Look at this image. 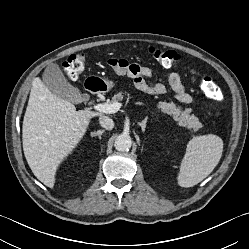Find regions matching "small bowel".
<instances>
[{"label":"small bowel","mask_w":249,"mask_h":249,"mask_svg":"<svg viewBox=\"0 0 249 249\" xmlns=\"http://www.w3.org/2000/svg\"><path fill=\"white\" fill-rule=\"evenodd\" d=\"M120 74H126L132 79L134 86L145 93L151 95H162L165 93L166 88L163 84L150 85L147 82V78H150L152 71L146 66H140L137 64L128 63L125 71H117ZM169 85L174 92L177 101L183 104H190L193 98L190 93L186 91L185 86L182 83L179 73L172 72L168 78Z\"/></svg>","instance_id":"1"}]
</instances>
